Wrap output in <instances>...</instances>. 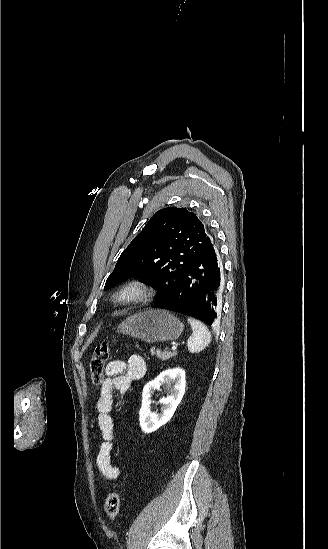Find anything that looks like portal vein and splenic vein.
Listing matches in <instances>:
<instances>
[{
	"label": "portal vein and splenic vein",
	"mask_w": 328,
	"mask_h": 549,
	"mask_svg": "<svg viewBox=\"0 0 328 549\" xmlns=\"http://www.w3.org/2000/svg\"><path fill=\"white\" fill-rule=\"evenodd\" d=\"M175 349H177V347H172V348H171V351H175Z\"/></svg>",
	"instance_id": "1"
}]
</instances>
